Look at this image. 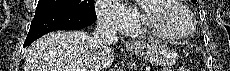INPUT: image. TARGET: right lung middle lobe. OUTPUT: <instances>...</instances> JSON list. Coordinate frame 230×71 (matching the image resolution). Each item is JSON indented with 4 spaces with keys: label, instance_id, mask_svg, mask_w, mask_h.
I'll return each mask as SVG.
<instances>
[{
    "label": "right lung middle lobe",
    "instance_id": "dd1d6c3e",
    "mask_svg": "<svg viewBox=\"0 0 230 71\" xmlns=\"http://www.w3.org/2000/svg\"><path fill=\"white\" fill-rule=\"evenodd\" d=\"M44 10H74L96 16L94 0H39L36 12Z\"/></svg>",
    "mask_w": 230,
    "mask_h": 71
}]
</instances>
